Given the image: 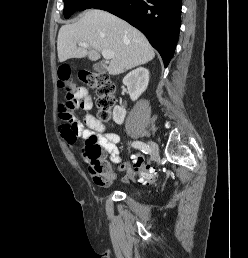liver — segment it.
Here are the masks:
<instances>
[{"mask_svg": "<svg viewBox=\"0 0 248 258\" xmlns=\"http://www.w3.org/2000/svg\"><path fill=\"white\" fill-rule=\"evenodd\" d=\"M79 43H87L89 47H78ZM103 50L113 53L107 68L110 75H119L155 57L152 46L139 30L102 10L90 9L76 23L64 25L59 30L60 62L86 56L97 61Z\"/></svg>", "mask_w": 248, "mask_h": 258, "instance_id": "6515ba94", "label": "liver"}]
</instances>
